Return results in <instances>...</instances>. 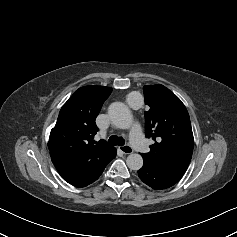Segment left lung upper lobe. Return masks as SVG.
Here are the masks:
<instances>
[{
	"label": "left lung upper lobe",
	"mask_w": 237,
	"mask_h": 237,
	"mask_svg": "<svg viewBox=\"0 0 237 237\" xmlns=\"http://www.w3.org/2000/svg\"><path fill=\"white\" fill-rule=\"evenodd\" d=\"M146 137L155 143L144 160L184 174L193 153V133L189 114L180 99L163 85L143 87Z\"/></svg>",
	"instance_id": "1"
}]
</instances>
